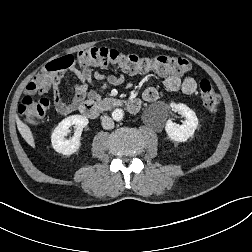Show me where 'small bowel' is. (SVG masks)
<instances>
[{
	"label": "small bowel",
	"instance_id": "1",
	"mask_svg": "<svg viewBox=\"0 0 252 252\" xmlns=\"http://www.w3.org/2000/svg\"><path fill=\"white\" fill-rule=\"evenodd\" d=\"M69 70L79 80L78 83L74 84V96L71 100L66 102L60 95L59 80L61 76L52 85L55 94V107L62 115L75 111L85 99H99L109 86L120 85L124 79L122 75H103L98 71H93L89 67L78 68L77 66H73ZM162 75L164 76V87L168 91H182L186 95H191L197 89L196 80L191 76L181 78L169 73H163ZM94 79L98 80L100 84L95 89H90L89 85L93 83ZM143 98L145 101L154 102L159 98V93L155 88L149 87L143 92Z\"/></svg>",
	"mask_w": 252,
	"mask_h": 252
}]
</instances>
